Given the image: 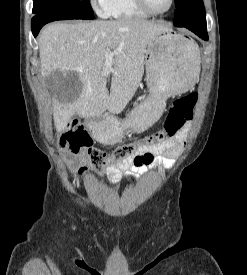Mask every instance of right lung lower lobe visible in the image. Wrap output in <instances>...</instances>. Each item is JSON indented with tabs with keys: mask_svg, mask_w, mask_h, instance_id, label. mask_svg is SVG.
<instances>
[{
	"mask_svg": "<svg viewBox=\"0 0 247 275\" xmlns=\"http://www.w3.org/2000/svg\"><path fill=\"white\" fill-rule=\"evenodd\" d=\"M69 19H74L70 17H65L59 14H40L36 15L32 18L31 21V28H32V33L34 37H36L40 31V29L47 23L52 22V21H57V20H69Z\"/></svg>",
	"mask_w": 247,
	"mask_h": 275,
	"instance_id": "obj_1",
	"label": "right lung lower lobe"
}]
</instances>
